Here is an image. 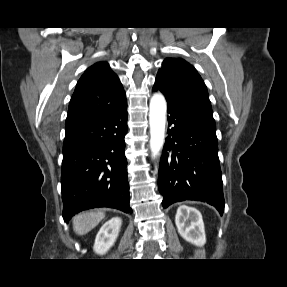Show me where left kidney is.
<instances>
[{"mask_svg": "<svg viewBox=\"0 0 287 287\" xmlns=\"http://www.w3.org/2000/svg\"><path fill=\"white\" fill-rule=\"evenodd\" d=\"M175 223L178 233L186 241L196 246H203L206 243L202 215L197 209L185 205L180 206L177 209Z\"/></svg>", "mask_w": 287, "mask_h": 287, "instance_id": "1", "label": "left kidney"}]
</instances>
